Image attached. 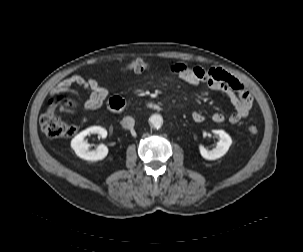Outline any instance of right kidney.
<instances>
[{"label": "right kidney", "mask_w": 303, "mask_h": 252, "mask_svg": "<svg viewBox=\"0 0 303 252\" xmlns=\"http://www.w3.org/2000/svg\"><path fill=\"white\" fill-rule=\"evenodd\" d=\"M90 134H98L102 138H106L107 131L101 126L89 127L78 135H76L71 141V147L75 151L76 155L84 160L98 161L104 159L108 154V148L104 144L98 146L96 150L90 151L89 144L84 142V138Z\"/></svg>", "instance_id": "right-kidney-1"}]
</instances>
